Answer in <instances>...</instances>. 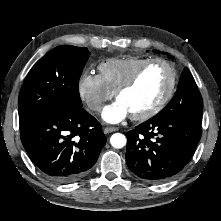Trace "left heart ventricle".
<instances>
[{
	"instance_id": "b2bd125f",
	"label": "left heart ventricle",
	"mask_w": 221,
	"mask_h": 221,
	"mask_svg": "<svg viewBox=\"0 0 221 221\" xmlns=\"http://www.w3.org/2000/svg\"><path fill=\"white\" fill-rule=\"evenodd\" d=\"M170 81L168 69L161 64L149 66L136 84L123 92L118 100L130 114H138L151 108L166 91Z\"/></svg>"
}]
</instances>
